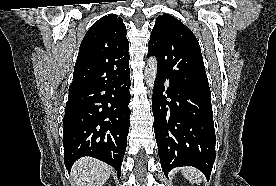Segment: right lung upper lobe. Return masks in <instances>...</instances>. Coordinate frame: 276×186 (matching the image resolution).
I'll return each instance as SVG.
<instances>
[{
	"label": "right lung upper lobe",
	"mask_w": 276,
	"mask_h": 186,
	"mask_svg": "<svg viewBox=\"0 0 276 186\" xmlns=\"http://www.w3.org/2000/svg\"><path fill=\"white\" fill-rule=\"evenodd\" d=\"M123 20L115 14L100 18L84 36L69 91L116 82L130 73L129 44Z\"/></svg>",
	"instance_id": "cb5924a9"
}]
</instances>
